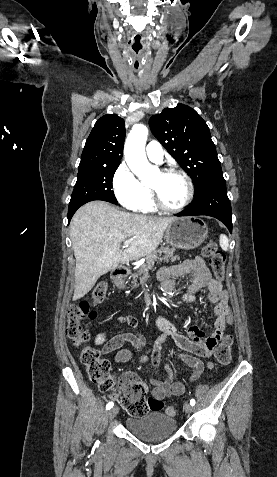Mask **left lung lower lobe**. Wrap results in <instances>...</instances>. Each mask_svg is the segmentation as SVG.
<instances>
[{
	"instance_id": "obj_1",
	"label": "left lung lower lobe",
	"mask_w": 277,
	"mask_h": 477,
	"mask_svg": "<svg viewBox=\"0 0 277 477\" xmlns=\"http://www.w3.org/2000/svg\"><path fill=\"white\" fill-rule=\"evenodd\" d=\"M207 215L215 217L232 233V211L222 172L207 178L196 192L194 203L176 216Z\"/></svg>"
}]
</instances>
